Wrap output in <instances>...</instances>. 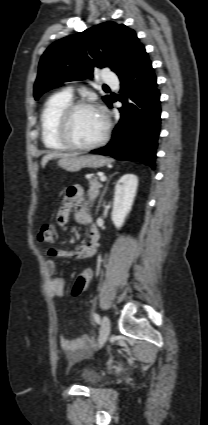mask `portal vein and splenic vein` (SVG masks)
Masks as SVG:
<instances>
[{
    "label": "portal vein and splenic vein",
    "instance_id": "18ae733b",
    "mask_svg": "<svg viewBox=\"0 0 208 425\" xmlns=\"http://www.w3.org/2000/svg\"><path fill=\"white\" fill-rule=\"evenodd\" d=\"M106 179H107V178H106V176H104V175H102V176L100 177V181H101V182L106 181Z\"/></svg>",
    "mask_w": 208,
    "mask_h": 425
}]
</instances>
